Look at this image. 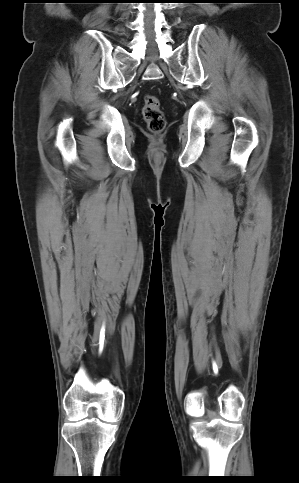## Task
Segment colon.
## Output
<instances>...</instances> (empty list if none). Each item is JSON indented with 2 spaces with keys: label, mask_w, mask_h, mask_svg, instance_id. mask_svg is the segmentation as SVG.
<instances>
[{
  "label": "colon",
  "mask_w": 299,
  "mask_h": 483,
  "mask_svg": "<svg viewBox=\"0 0 299 483\" xmlns=\"http://www.w3.org/2000/svg\"><path fill=\"white\" fill-rule=\"evenodd\" d=\"M142 114L148 125V129L152 133H160L163 131L166 120L157 96L149 94L144 97Z\"/></svg>",
  "instance_id": "5ec220e1"
}]
</instances>
